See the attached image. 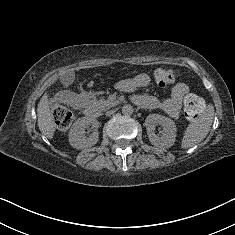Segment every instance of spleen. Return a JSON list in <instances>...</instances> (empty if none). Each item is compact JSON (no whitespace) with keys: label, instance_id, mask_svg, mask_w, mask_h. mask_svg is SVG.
<instances>
[{"label":"spleen","instance_id":"obj_1","mask_svg":"<svg viewBox=\"0 0 235 235\" xmlns=\"http://www.w3.org/2000/svg\"><path fill=\"white\" fill-rule=\"evenodd\" d=\"M203 130H207L208 129V126L206 124L203 125V127H201ZM192 144V142H190L189 140H186L185 142V146H190Z\"/></svg>","mask_w":235,"mask_h":235}]
</instances>
